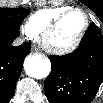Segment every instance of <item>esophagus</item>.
Segmentation results:
<instances>
[{"instance_id": "obj_1", "label": "esophagus", "mask_w": 103, "mask_h": 103, "mask_svg": "<svg viewBox=\"0 0 103 103\" xmlns=\"http://www.w3.org/2000/svg\"><path fill=\"white\" fill-rule=\"evenodd\" d=\"M31 49H32L33 52H37V50H38V49L36 48V46H34V45L32 46Z\"/></svg>"}]
</instances>
